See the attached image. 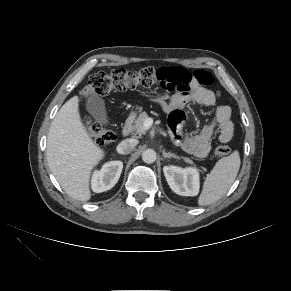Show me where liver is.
Returning a JSON list of instances; mask_svg holds the SVG:
<instances>
[{
	"label": "liver",
	"mask_w": 291,
	"mask_h": 291,
	"mask_svg": "<svg viewBox=\"0 0 291 291\" xmlns=\"http://www.w3.org/2000/svg\"><path fill=\"white\" fill-rule=\"evenodd\" d=\"M46 154L51 172L63 190L76 200H90L91 171L105 152L92 139L81 120L78 96L69 99L53 119Z\"/></svg>",
	"instance_id": "1"
}]
</instances>
